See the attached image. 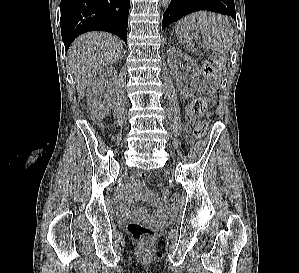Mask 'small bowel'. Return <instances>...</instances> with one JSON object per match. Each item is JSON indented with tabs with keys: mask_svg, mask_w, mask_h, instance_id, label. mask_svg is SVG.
Instances as JSON below:
<instances>
[{
	"mask_svg": "<svg viewBox=\"0 0 299 273\" xmlns=\"http://www.w3.org/2000/svg\"><path fill=\"white\" fill-rule=\"evenodd\" d=\"M146 199L152 203L156 209V219L167 220L171 217L168 209V194L164 191L161 195H157L151 191L141 188L136 194L126 193L120 203V210L126 217H146L153 219L148 215L147 209L142 207L139 209H132L131 203L137 199Z\"/></svg>",
	"mask_w": 299,
	"mask_h": 273,
	"instance_id": "small-bowel-1",
	"label": "small bowel"
}]
</instances>
